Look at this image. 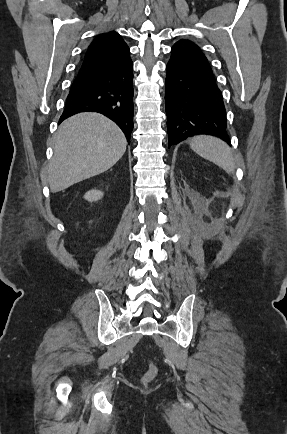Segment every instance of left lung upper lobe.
<instances>
[{"instance_id":"left-lung-upper-lobe-1","label":"left lung upper lobe","mask_w":287,"mask_h":434,"mask_svg":"<svg viewBox=\"0 0 287 434\" xmlns=\"http://www.w3.org/2000/svg\"><path fill=\"white\" fill-rule=\"evenodd\" d=\"M171 53L176 55L186 56V57L207 60V58L201 52L199 47L193 42L188 40H179L178 42H176L171 49Z\"/></svg>"}]
</instances>
